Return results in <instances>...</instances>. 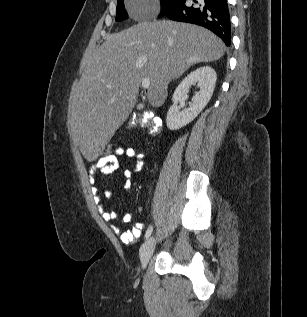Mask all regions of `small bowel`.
Instances as JSON below:
<instances>
[{"label":"small bowel","instance_id":"1","mask_svg":"<svg viewBox=\"0 0 307 317\" xmlns=\"http://www.w3.org/2000/svg\"><path fill=\"white\" fill-rule=\"evenodd\" d=\"M119 156H125L129 159H131L134 163V171L139 172L142 170L144 165V155L136 148L134 147H120L117 153V156L102 160L98 159L93 166L94 173H99L101 176H106L109 174H112L114 171H116L119 167ZM125 180L123 182V189L125 191H129L132 188V173L130 171H126L124 173ZM113 195V191L108 190L105 192L106 197H111ZM95 201L98 203L100 201V197L96 196ZM118 216L117 212L115 211H104L102 210V217L106 221H111L116 219ZM133 220V214L132 213H126L123 217V221L126 223H130ZM143 228L142 223H136L132 229L128 231H121L116 227H113V229L118 233L121 241L125 244H133L136 242L137 237L139 236L141 230Z\"/></svg>","mask_w":307,"mask_h":317}]
</instances>
